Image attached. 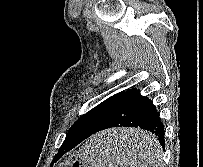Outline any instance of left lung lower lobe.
Masks as SVG:
<instances>
[{
	"label": "left lung lower lobe",
	"instance_id": "0a47b994",
	"mask_svg": "<svg viewBox=\"0 0 203 167\" xmlns=\"http://www.w3.org/2000/svg\"><path fill=\"white\" fill-rule=\"evenodd\" d=\"M112 127H138L145 129L153 133L159 140L162 148H165L164 125L159 113H157L153 102L149 98L142 96L139 90L134 89L128 90L123 94L108 116L95 130L89 134L66 137L56 155L57 160L92 134ZM144 148L139 143L135 145V149L138 152H141Z\"/></svg>",
	"mask_w": 203,
	"mask_h": 167
}]
</instances>
